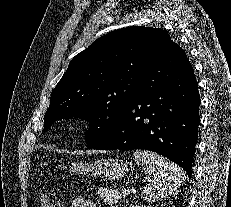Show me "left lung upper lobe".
Segmentation results:
<instances>
[{
    "label": "left lung upper lobe",
    "instance_id": "left-lung-upper-lobe-1",
    "mask_svg": "<svg viewBox=\"0 0 231 207\" xmlns=\"http://www.w3.org/2000/svg\"><path fill=\"white\" fill-rule=\"evenodd\" d=\"M174 44L159 28L115 30L76 55L51 93L43 132L59 119L89 122V148L104 140L140 95L145 73Z\"/></svg>",
    "mask_w": 231,
    "mask_h": 207
}]
</instances>
